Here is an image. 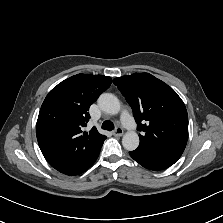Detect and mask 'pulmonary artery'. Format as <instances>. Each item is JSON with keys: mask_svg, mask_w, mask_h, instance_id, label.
Masks as SVG:
<instances>
[{"mask_svg": "<svg viewBox=\"0 0 223 223\" xmlns=\"http://www.w3.org/2000/svg\"><path fill=\"white\" fill-rule=\"evenodd\" d=\"M123 123H124L125 126L130 127V126L133 125L134 120H133L132 117L127 116V117L124 118Z\"/></svg>", "mask_w": 223, "mask_h": 223, "instance_id": "e3ab8cb5", "label": "pulmonary artery"}]
</instances>
